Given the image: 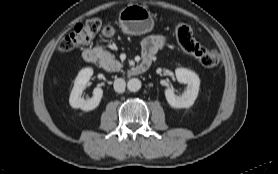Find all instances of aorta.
<instances>
[{
	"label": "aorta",
	"instance_id": "aorta-1",
	"mask_svg": "<svg viewBox=\"0 0 278 174\" xmlns=\"http://www.w3.org/2000/svg\"><path fill=\"white\" fill-rule=\"evenodd\" d=\"M127 88L131 92H137L141 88V81L138 78H132L128 81Z\"/></svg>",
	"mask_w": 278,
	"mask_h": 174
}]
</instances>
